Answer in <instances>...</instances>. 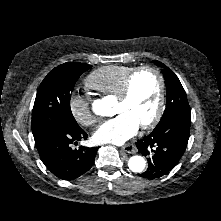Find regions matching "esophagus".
<instances>
[{
    "label": "esophagus",
    "instance_id": "34e87169",
    "mask_svg": "<svg viewBox=\"0 0 221 221\" xmlns=\"http://www.w3.org/2000/svg\"><path fill=\"white\" fill-rule=\"evenodd\" d=\"M121 150H123L124 152H127V153H136V147L133 145V144H128V145H125L121 148Z\"/></svg>",
    "mask_w": 221,
    "mask_h": 221
}]
</instances>
